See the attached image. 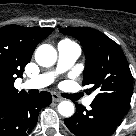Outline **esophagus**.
Masks as SVG:
<instances>
[{
	"label": "esophagus",
	"instance_id": "esophagus-1",
	"mask_svg": "<svg viewBox=\"0 0 136 136\" xmlns=\"http://www.w3.org/2000/svg\"><path fill=\"white\" fill-rule=\"evenodd\" d=\"M52 100L54 102H60L63 100V98H61L60 96H58L57 94L54 93V94H52Z\"/></svg>",
	"mask_w": 136,
	"mask_h": 136
}]
</instances>
